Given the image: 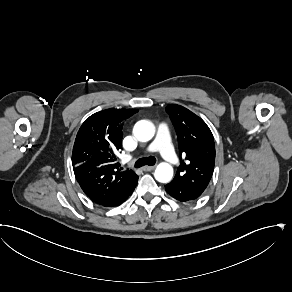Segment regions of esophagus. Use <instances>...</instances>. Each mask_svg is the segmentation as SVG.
<instances>
[{"instance_id": "esophagus-1", "label": "esophagus", "mask_w": 292, "mask_h": 292, "mask_svg": "<svg viewBox=\"0 0 292 292\" xmlns=\"http://www.w3.org/2000/svg\"><path fill=\"white\" fill-rule=\"evenodd\" d=\"M155 169V166H144L142 168L143 171L148 172V171H152Z\"/></svg>"}]
</instances>
